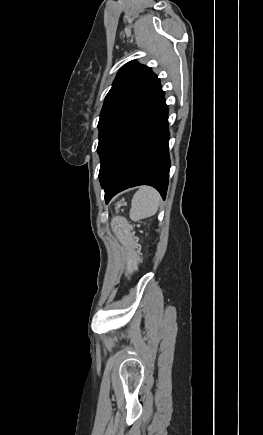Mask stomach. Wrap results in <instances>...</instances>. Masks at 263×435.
Masks as SVG:
<instances>
[{"instance_id": "1", "label": "stomach", "mask_w": 263, "mask_h": 435, "mask_svg": "<svg viewBox=\"0 0 263 435\" xmlns=\"http://www.w3.org/2000/svg\"><path fill=\"white\" fill-rule=\"evenodd\" d=\"M109 225H111L112 233H119L121 237L119 239V246L124 247L125 252H136L137 250V239L134 238V225L130 224L131 219L130 216H109L108 219ZM131 261L137 260L136 254L130 255ZM125 288H134L135 280L134 279H125L124 280Z\"/></svg>"}]
</instances>
